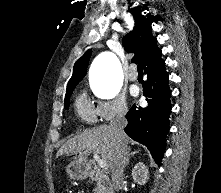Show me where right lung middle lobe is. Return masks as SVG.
I'll return each mask as SVG.
<instances>
[{"label":"right lung middle lobe","instance_id":"dd1d6c3e","mask_svg":"<svg viewBox=\"0 0 221 193\" xmlns=\"http://www.w3.org/2000/svg\"><path fill=\"white\" fill-rule=\"evenodd\" d=\"M75 87H76V85L67 87V91H66V95H65V104H64V107L67 109L69 108L70 96H71Z\"/></svg>","mask_w":221,"mask_h":193}]
</instances>
